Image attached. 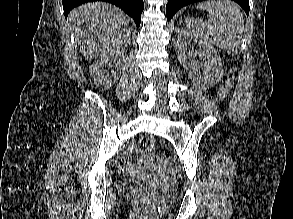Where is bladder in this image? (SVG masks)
<instances>
[{
  "label": "bladder",
  "instance_id": "bladder-1",
  "mask_svg": "<svg viewBox=\"0 0 293 219\" xmlns=\"http://www.w3.org/2000/svg\"><path fill=\"white\" fill-rule=\"evenodd\" d=\"M131 182H133V183H134V182H135V180H132Z\"/></svg>",
  "mask_w": 293,
  "mask_h": 219
}]
</instances>
